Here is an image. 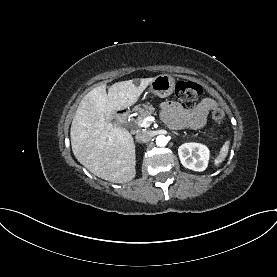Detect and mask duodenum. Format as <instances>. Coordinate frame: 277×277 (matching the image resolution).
Masks as SVG:
<instances>
[{"mask_svg": "<svg viewBox=\"0 0 277 277\" xmlns=\"http://www.w3.org/2000/svg\"><path fill=\"white\" fill-rule=\"evenodd\" d=\"M127 112L125 110H119L116 112V119L120 124H123L126 120Z\"/></svg>", "mask_w": 277, "mask_h": 277, "instance_id": "obj_1", "label": "duodenum"}]
</instances>
